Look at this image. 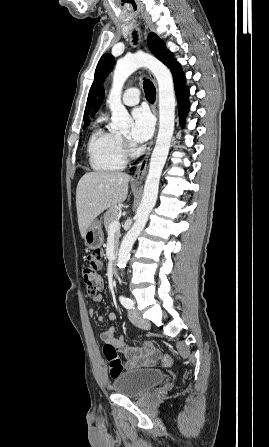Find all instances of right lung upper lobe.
I'll list each match as a JSON object with an SVG mask.
<instances>
[{
    "mask_svg": "<svg viewBox=\"0 0 269 447\" xmlns=\"http://www.w3.org/2000/svg\"><path fill=\"white\" fill-rule=\"evenodd\" d=\"M103 97H104V90H102L101 95H100V97H99V100H98V102H97V104H96V106H95V109H94V111H93V113H92L91 116H94V114H95V113L97 112V110L99 109V107H100V105H101V103H102ZM88 122H89V120L86 122L85 126L88 124Z\"/></svg>",
    "mask_w": 269,
    "mask_h": 447,
    "instance_id": "right-lung-upper-lobe-1",
    "label": "right lung upper lobe"
}]
</instances>
